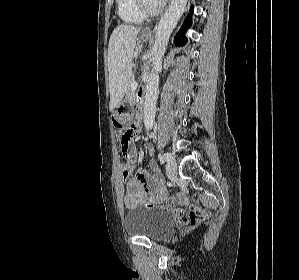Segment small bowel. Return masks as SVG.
<instances>
[{"label": "small bowel", "instance_id": "small-bowel-1", "mask_svg": "<svg viewBox=\"0 0 299 280\" xmlns=\"http://www.w3.org/2000/svg\"><path fill=\"white\" fill-rule=\"evenodd\" d=\"M141 125L140 117L133 122L129 128L134 131V134L138 132ZM151 154L154 153L152 147L149 148ZM132 154L135 159V150L132 146ZM153 173L147 171H140L135 177H132L126 181V192L123 197L124 205L127 209H134L140 205L146 206V204L170 202L176 203L181 200L179 196L170 197L167 187L155 161L150 163Z\"/></svg>", "mask_w": 299, "mask_h": 280}]
</instances>
